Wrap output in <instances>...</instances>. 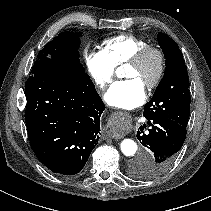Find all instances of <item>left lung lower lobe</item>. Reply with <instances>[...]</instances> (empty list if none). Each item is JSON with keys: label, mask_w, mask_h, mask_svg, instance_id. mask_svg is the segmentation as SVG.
<instances>
[{"label": "left lung lower lobe", "mask_w": 211, "mask_h": 211, "mask_svg": "<svg viewBox=\"0 0 211 211\" xmlns=\"http://www.w3.org/2000/svg\"><path fill=\"white\" fill-rule=\"evenodd\" d=\"M149 133L137 132V139L151 151V158L143 156L131 162L138 177L155 178L164 173L174 162L186 138V127L169 118L147 119ZM143 133V134H142Z\"/></svg>", "instance_id": "obj_1"}]
</instances>
